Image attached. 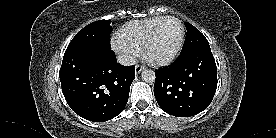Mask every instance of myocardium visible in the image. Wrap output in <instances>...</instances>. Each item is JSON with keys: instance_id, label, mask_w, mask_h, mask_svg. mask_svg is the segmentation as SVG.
<instances>
[{"instance_id": "obj_1", "label": "myocardium", "mask_w": 276, "mask_h": 138, "mask_svg": "<svg viewBox=\"0 0 276 138\" xmlns=\"http://www.w3.org/2000/svg\"><path fill=\"white\" fill-rule=\"evenodd\" d=\"M170 20H174L176 21L179 25H180V29H181V34H180V38L179 41L175 47V49L172 51L171 54H169L166 57L163 58H153L150 56V51L156 41L157 35L161 29V27ZM184 40H185V27L183 25V23L174 16H168L165 17L161 22H159L155 28L153 29V31L151 32L144 48H143V57L145 58V60L147 62H149L150 64L154 65V66H163V65H167L169 63H171L179 54V52L181 51V48L184 44Z\"/></svg>"}]
</instances>
